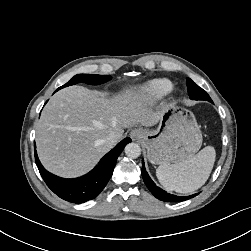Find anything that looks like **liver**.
<instances>
[{
	"instance_id": "obj_1",
	"label": "liver",
	"mask_w": 251,
	"mask_h": 251,
	"mask_svg": "<svg viewBox=\"0 0 251 251\" xmlns=\"http://www.w3.org/2000/svg\"><path fill=\"white\" fill-rule=\"evenodd\" d=\"M167 106L154 111L132 90L112 98L82 86L55 93L43 109L36 131L39 158L50 172L77 177L91 170L113 145L107 141L124 128L157 124Z\"/></svg>"
}]
</instances>
